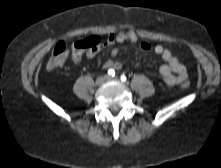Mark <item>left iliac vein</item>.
I'll list each match as a JSON object with an SVG mask.
<instances>
[{
  "instance_id": "left-iliac-vein-1",
  "label": "left iliac vein",
  "mask_w": 221,
  "mask_h": 168,
  "mask_svg": "<svg viewBox=\"0 0 221 168\" xmlns=\"http://www.w3.org/2000/svg\"><path fill=\"white\" fill-rule=\"evenodd\" d=\"M107 81H118L117 77H107Z\"/></svg>"
}]
</instances>
